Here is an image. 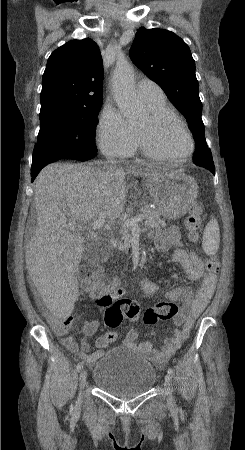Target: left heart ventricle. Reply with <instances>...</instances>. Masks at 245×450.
<instances>
[{
	"label": "left heart ventricle",
	"mask_w": 245,
	"mask_h": 450,
	"mask_svg": "<svg viewBox=\"0 0 245 450\" xmlns=\"http://www.w3.org/2000/svg\"><path fill=\"white\" fill-rule=\"evenodd\" d=\"M138 131L153 149L164 155L178 156L187 153L190 149L186 134L172 120L167 119L159 125H154L148 116L138 126Z\"/></svg>",
	"instance_id": "left-heart-ventricle-1"
}]
</instances>
